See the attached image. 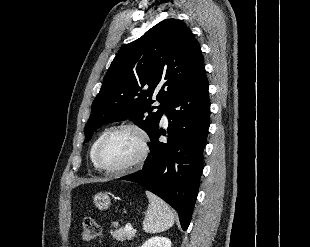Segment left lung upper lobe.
<instances>
[{
  "label": "left lung upper lobe",
  "mask_w": 310,
  "mask_h": 247,
  "mask_svg": "<svg viewBox=\"0 0 310 247\" xmlns=\"http://www.w3.org/2000/svg\"><path fill=\"white\" fill-rule=\"evenodd\" d=\"M203 63L200 45L191 30L176 19L161 21L114 58L92 103L84 142L102 125L126 119L151 137L170 100ZM154 94L158 107L151 106Z\"/></svg>",
  "instance_id": "left-lung-upper-lobe-1"
}]
</instances>
